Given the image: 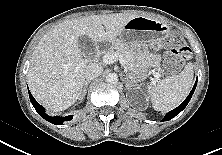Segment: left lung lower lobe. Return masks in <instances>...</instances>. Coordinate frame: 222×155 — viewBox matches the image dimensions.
Returning <instances> with one entry per match:
<instances>
[{
  "mask_svg": "<svg viewBox=\"0 0 222 155\" xmlns=\"http://www.w3.org/2000/svg\"><path fill=\"white\" fill-rule=\"evenodd\" d=\"M196 85H197V80L195 82V85L193 86V89L191 90L190 94L185 99V101L180 106H178L177 108H175L174 110H172L168 114H166L165 117L163 118V121L171 120L173 117H175L177 114H179L187 106V104L189 103V101L195 91Z\"/></svg>",
  "mask_w": 222,
  "mask_h": 155,
  "instance_id": "1",
  "label": "left lung lower lobe"
}]
</instances>
